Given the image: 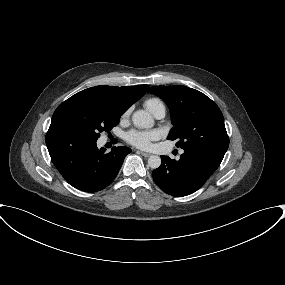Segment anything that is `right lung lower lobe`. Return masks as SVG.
Returning a JSON list of instances; mask_svg holds the SVG:
<instances>
[{
  "label": "right lung lower lobe",
  "mask_w": 285,
  "mask_h": 285,
  "mask_svg": "<svg viewBox=\"0 0 285 285\" xmlns=\"http://www.w3.org/2000/svg\"><path fill=\"white\" fill-rule=\"evenodd\" d=\"M79 131L65 125L51 123L46 134V145L55 167L73 187L96 192L107 187L116 177L128 147H113L105 153Z\"/></svg>",
  "instance_id": "obj_1"
}]
</instances>
